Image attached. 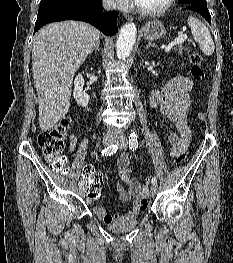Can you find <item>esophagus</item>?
Wrapping results in <instances>:
<instances>
[{
  "label": "esophagus",
  "mask_w": 233,
  "mask_h": 263,
  "mask_svg": "<svg viewBox=\"0 0 233 263\" xmlns=\"http://www.w3.org/2000/svg\"><path fill=\"white\" fill-rule=\"evenodd\" d=\"M125 18L129 21H132L133 20V17L129 14H124Z\"/></svg>",
  "instance_id": "esophagus-1"
}]
</instances>
